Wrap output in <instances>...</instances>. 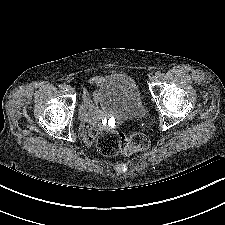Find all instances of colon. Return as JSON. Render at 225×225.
I'll return each instance as SVG.
<instances>
[{
    "mask_svg": "<svg viewBox=\"0 0 225 225\" xmlns=\"http://www.w3.org/2000/svg\"><path fill=\"white\" fill-rule=\"evenodd\" d=\"M150 141L143 133L127 136L120 132H104L96 142L97 150L104 156L132 154L145 151L149 148Z\"/></svg>",
    "mask_w": 225,
    "mask_h": 225,
    "instance_id": "obj_1",
    "label": "colon"
}]
</instances>
